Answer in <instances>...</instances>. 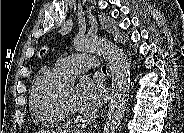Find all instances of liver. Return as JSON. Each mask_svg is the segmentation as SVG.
<instances>
[{
	"label": "liver",
	"instance_id": "1",
	"mask_svg": "<svg viewBox=\"0 0 184 133\" xmlns=\"http://www.w3.org/2000/svg\"><path fill=\"white\" fill-rule=\"evenodd\" d=\"M41 133H50V132H49V131H44V130H43V131H41Z\"/></svg>",
	"mask_w": 184,
	"mask_h": 133
}]
</instances>
